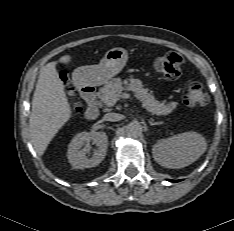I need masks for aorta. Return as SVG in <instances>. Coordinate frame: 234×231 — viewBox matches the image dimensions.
Wrapping results in <instances>:
<instances>
[{
  "mask_svg": "<svg viewBox=\"0 0 234 231\" xmlns=\"http://www.w3.org/2000/svg\"><path fill=\"white\" fill-rule=\"evenodd\" d=\"M126 133L129 137L137 138L142 134V126L137 121L131 122L126 127Z\"/></svg>",
  "mask_w": 234,
  "mask_h": 231,
  "instance_id": "aorta-1",
  "label": "aorta"
}]
</instances>
